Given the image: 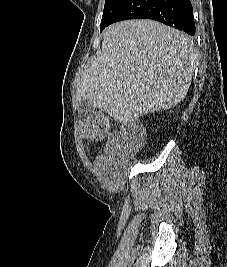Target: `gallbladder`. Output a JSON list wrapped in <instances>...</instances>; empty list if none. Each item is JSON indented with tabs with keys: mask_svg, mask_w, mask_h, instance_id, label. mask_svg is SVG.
Listing matches in <instances>:
<instances>
[{
	"mask_svg": "<svg viewBox=\"0 0 227 267\" xmlns=\"http://www.w3.org/2000/svg\"><path fill=\"white\" fill-rule=\"evenodd\" d=\"M78 111L81 116H88L94 113L95 106L88 99H85L79 102Z\"/></svg>",
	"mask_w": 227,
	"mask_h": 267,
	"instance_id": "obj_1",
	"label": "gallbladder"
}]
</instances>
